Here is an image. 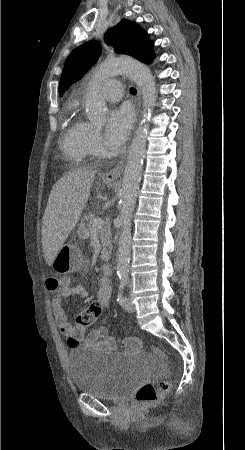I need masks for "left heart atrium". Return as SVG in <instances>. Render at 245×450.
Returning a JSON list of instances; mask_svg holds the SVG:
<instances>
[{"label":"left heart atrium","mask_w":245,"mask_h":450,"mask_svg":"<svg viewBox=\"0 0 245 450\" xmlns=\"http://www.w3.org/2000/svg\"><path fill=\"white\" fill-rule=\"evenodd\" d=\"M134 112L129 104H122L111 111L105 131V140L108 147L117 149L121 147L132 128Z\"/></svg>","instance_id":"left-heart-atrium-1"}]
</instances>
